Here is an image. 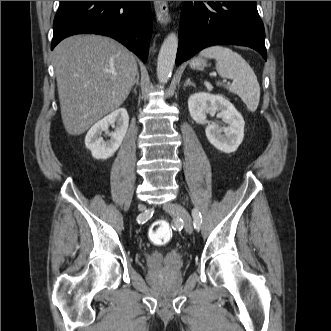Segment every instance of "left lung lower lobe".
<instances>
[{
	"mask_svg": "<svg viewBox=\"0 0 331 331\" xmlns=\"http://www.w3.org/2000/svg\"><path fill=\"white\" fill-rule=\"evenodd\" d=\"M264 39L256 1H185L176 65L217 44L248 46L267 60Z\"/></svg>",
	"mask_w": 331,
	"mask_h": 331,
	"instance_id": "1",
	"label": "left lung lower lobe"
}]
</instances>
